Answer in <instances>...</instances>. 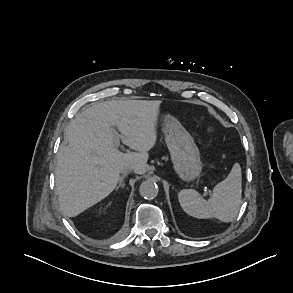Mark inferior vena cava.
<instances>
[{
  "label": "inferior vena cava",
  "instance_id": "1",
  "mask_svg": "<svg viewBox=\"0 0 293 293\" xmlns=\"http://www.w3.org/2000/svg\"><path fill=\"white\" fill-rule=\"evenodd\" d=\"M134 167L133 166H126L121 170V173L124 174H128L129 172L133 171Z\"/></svg>",
  "mask_w": 293,
  "mask_h": 293
}]
</instances>
